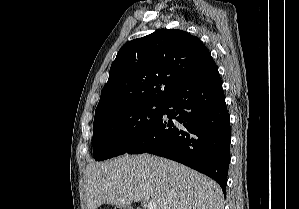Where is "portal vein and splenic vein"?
I'll use <instances>...</instances> for the list:
<instances>
[{
    "mask_svg": "<svg viewBox=\"0 0 299 209\" xmlns=\"http://www.w3.org/2000/svg\"><path fill=\"white\" fill-rule=\"evenodd\" d=\"M147 209H157V204L154 202H148Z\"/></svg>",
    "mask_w": 299,
    "mask_h": 209,
    "instance_id": "portal-vein-and-splenic-vein-1",
    "label": "portal vein and splenic vein"
}]
</instances>
